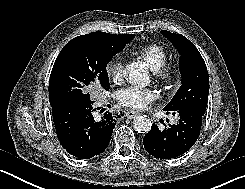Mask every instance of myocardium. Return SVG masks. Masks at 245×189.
<instances>
[{"label":"myocardium","instance_id":"1","mask_svg":"<svg viewBox=\"0 0 245 189\" xmlns=\"http://www.w3.org/2000/svg\"><path fill=\"white\" fill-rule=\"evenodd\" d=\"M155 74L159 81H161L162 83H168L174 77V69L170 66L163 65L155 71Z\"/></svg>","mask_w":245,"mask_h":189}]
</instances>
